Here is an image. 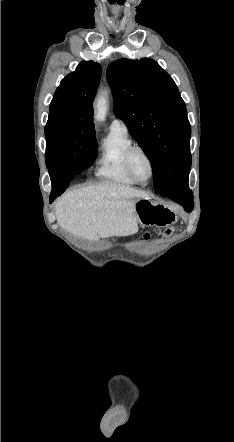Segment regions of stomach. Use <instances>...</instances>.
<instances>
[{
	"label": "stomach",
	"mask_w": 234,
	"mask_h": 442,
	"mask_svg": "<svg viewBox=\"0 0 234 442\" xmlns=\"http://www.w3.org/2000/svg\"><path fill=\"white\" fill-rule=\"evenodd\" d=\"M134 210L137 221L143 226H169L178 219L171 206L153 201L150 198L138 199L134 205Z\"/></svg>",
	"instance_id": "1"
}]
</instances>
